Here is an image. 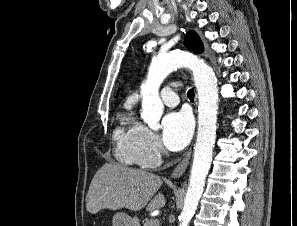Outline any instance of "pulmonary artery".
Here are the masks:
<instances>
[{"mask_svg": "<svg viewBox=\"0 0 297 226\" xmlns=\"http://www.w3.org/2000/svg\"><path fill=\"white\" fill-rule=\"evenodd\" d=\"M176 88L177 84L173 83L171 86H166L161 90L160 96L165 105L173 107L179 103Z\"/></svg>", "mask_w": 297, "mask_h": 226, "instance_id": "pulmonary-artery-1", "label": "pulmonary artery"}]
</instances>
